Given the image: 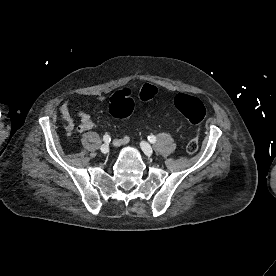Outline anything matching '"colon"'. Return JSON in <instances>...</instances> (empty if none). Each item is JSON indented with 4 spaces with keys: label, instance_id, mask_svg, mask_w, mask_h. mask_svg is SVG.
Returning <instances> with one entry per match:
<instances>
[{
    "label": "colon",
    "instance_id": "obj_1",
    "mask_svg": "<svg viewBox=\"0 0 276 276\" xmlns=\"http://www.w3.org/2000/svg\"><path fill=\"white\" fill-rule=\"evenodd\" d=\"M156 95L154 86L146 84L139 92L141 101L146 102L153 99ZM175 108L185 116L191 125H198L204 118L206 110L203 103L190 95L177 94L174 97ZM135 109V100L133 94L129 90H123L111 96L109 102V113L118 119L129 117ZM198 150V140L193 138L188 141L186 151L190 154Z\"/></svg>",
    "mask_w": 276,
    "mask_h": 276
}]
</instances>
